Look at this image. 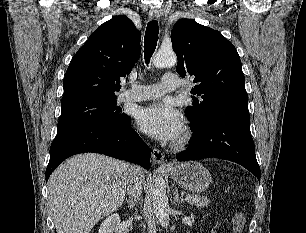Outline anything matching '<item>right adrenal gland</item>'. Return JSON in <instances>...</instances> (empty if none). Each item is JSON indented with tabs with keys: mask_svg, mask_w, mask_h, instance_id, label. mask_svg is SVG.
<instances>
[{
	"mask_svg": "<svg viewBox=\"0 0 306 233\" xmlns=\"http://www.w3.org/2000/svg\"><path fill=\"white\" fill-rule=\"evenodd\" d=\"M127 203L129 208H133L134 203L131 200H127Z\"/></svg>",
	"mask_w": 306,
	"mask_h": 233,
	"instance_id": "2a0ac1e0",
	"label": "right adrenal gland"
}]
</instances>
